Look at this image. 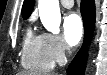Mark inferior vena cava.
<instances>
[{"mask_svg": "<svg viewBox=\"0 0 107 75\" xmlns=\"http://www.w3.org/2000/svg\"><path fill=\"white\" fill-rule=\"evenodd\" d=\"M66 50H68L70 52V48L68 46H66Z\"/></svg>", "mask_w": 107, "mask_h": 75, "instance_id": "inferior-vena-cava-1", "label": "inferior vena cava"}]
</instances>
